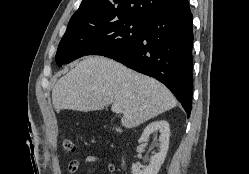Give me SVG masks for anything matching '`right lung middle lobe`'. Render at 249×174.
Here are the masks:
<instances>
[{"instance_id": "dd1d6c3e", "label": "right lung middle lobe", "mask_w": 249, "mask_h": 174, "mask_svg": "<svg viewBox=\"0 0 249 174\" xmlns=\"http://www.w3.org/2000/svg\"><path fill=\"white\" fill-rule=\"evenodd\" d=\"M145 20L121 18L108 23L66 30L56 53L61 66L85 55L118 53L136 42L144 31Z\"/></svg>"}]
</instances>
